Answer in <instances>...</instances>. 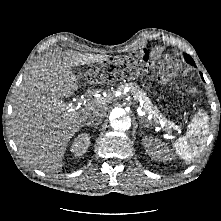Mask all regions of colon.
I'll list each match as a JSON object with an SVG mask.
<instances>
[{"instance_id": "5ec220e1", "label": "colon", "mask_w": 221, "mask_h": 221, "mask_svg": "<svg viewBox=\"0 0 221 221\" xmlns=\"http://www.w3.org/2000/svg\"><path fill=\"white\" fill-rule=\"evenodd\" d=\"M139 69L142 72L148 71L152 66L151 55L149 52H142L138 55ZM160 77H165L169 74V66L166 62H161L157 66ZM135 68L129 67L123 71V74H133ZM119 75L118 67L113 63L101 64L92 66L87 71V76L90 78H98L103 80L113 79Z\"/></svg>"}]
</instances>
